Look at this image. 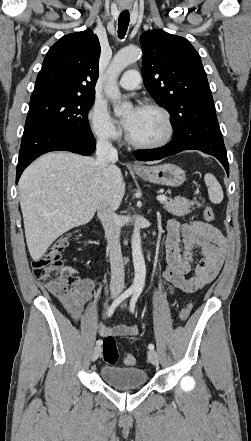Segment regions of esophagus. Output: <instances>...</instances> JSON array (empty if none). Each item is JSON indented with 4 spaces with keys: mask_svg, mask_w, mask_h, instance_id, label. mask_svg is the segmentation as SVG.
<instances>
[{
    "mask_svg": "<svg viewBox=\"0 0 251 441\" xmlns=\"http://www.w3.org/2000/svg\"><path fill=\"white\" fill-rule=\"evenodd\" d=\"M134 168H140L141 166L139 164H133Z\"/></svg>",
    "mask_w": 251,
    "mask_h": 441,
    "instance_id": "1",
    "label": "esophagus"
}]
</instances>
